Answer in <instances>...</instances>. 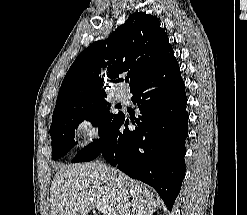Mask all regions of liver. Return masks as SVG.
<instances>
[{"label":"liver","mask_w":247,"mask_h":215,"mask_svg":"<svg viewBox=\"0 0 247 215\" xmlns=\"http://www.w3.org/2000/svg\"><path fill=\"white\" fill-rule=\"evenodd\" d=\"M102 202L106 215H152L157 201L144 184L100 162L62 167L50 188L51 215H87Z\"/></svg>","instance_id":"1"}]
</instances>
